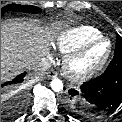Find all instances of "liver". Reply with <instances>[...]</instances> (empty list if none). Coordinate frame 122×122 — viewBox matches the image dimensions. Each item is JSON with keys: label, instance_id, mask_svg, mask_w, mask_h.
Here are the masks:
<instances>
[{"label": "liver", "instance_id": "obj_1", "mask_svg": "<svg viewBox=\"0 0 122 122\" xmlns=\"http://www.w3.org/2000/svg\"><path fill=\"white\" fill-rule=\"evenodd\" d=\"M56 36L54 27L36 19H8L1 23V81L30 70L48 53Z\"/></svg>", "mask_w": 122, "mask_h": 122}]
</instances>
